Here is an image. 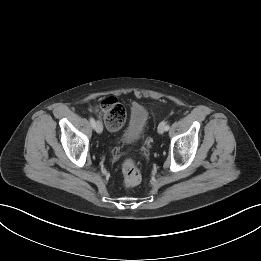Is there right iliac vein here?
Instances as JSON below:
<instances>
[{
  "label": "right iliac vein",
  "mask_w": 261,
  "mask_h": 261,
  "mask_svg": "<svg viewBox=\"0 0 261 261\" xmlns=\"http://www.w3.org/2000/svg\"><path fill=\"white\" fill-rule=\"evenodd\" d=\"M95 130H96L97 133H102L103 125H102V123L100 121H97L95 123Z\"/></svg>",
  "instance_id": "63e3f726"
}]
</instances>
